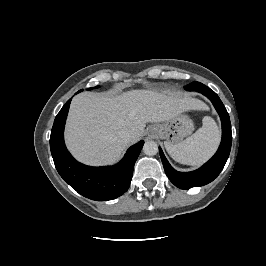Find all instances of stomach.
Segmentation results:
<instances>
[{
    "mask_svg": "<svg viewBox=\"0 0 266 266\" xmlns=\"http://www.w3.org/2000/svg\"><path fill=\"white\" fill-rule=\"evenodd\" d=\"M194 130L192 120L185 114H178L163 123L154 124L150 127L149 132L166 142L177 144L185 137L190 135Z\"/></svg>",
    "mask_w": 266,
    "mask_h": 266,
    "instance_id": "obj_1",
    "label": "stomach"
}]
</instances>
